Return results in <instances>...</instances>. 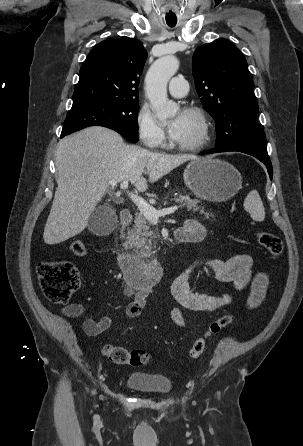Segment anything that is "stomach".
Returning <instances> with one entry per match:
<instances>
[{
  "instance_id": "stomach-1",
  "label": "stomach",
  "mask_w": 303,
  "mask_h": 446,
  "mask_svg": "<svg viewBox=\"0 0 303 446\" xmlns=\"http://www.w3.org/2000/svg\"><path fill=\"white\" fill-rule=\"evenodd\" d=\"M183 178L196 197L212 202L226 201L242 187L240 172L230 163L214 158L191 160Z\"/></svg>"
}]
</instances>
